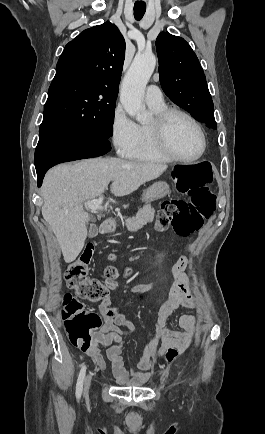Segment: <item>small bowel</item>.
I'll list each match as a JSON object with an SVG mask.
<instances>
[{
	"instance_id": "1",
	"label": "small bowel",
	"mask_w": 265,
	"mask_h": 434,
	"mask_svg": "<svg viewBox=\"0 0 265 434\" xmlns=\"http://www.w3.org/2000/svg\"><path fill=\"white\" fill-rule=\"evenodd\" d=\"M189 265L187 254H181L171 268L173 282L166 288L164 300L154 317L155 332L151 339L145 341L142 355L135 366L126 369L122 357L124 337L135 331L134 323L126 314L116 308H111V298L104 300L98 314L104 320L102 327L92 336L91 346L86 352L94 359L95 364L103 362L100 351L106 348V356L111 363L112 373L119 387H138L142 378L149 377V371L155 362L167 349L169 340H176L178 351H186L194 342L198 318L191 314H183L178 318L182 331L167 328L166 323L171 314L179 309H192L195 307V296L191 289V281L186 274ZM155 284H137L130 286L128 291L133 293H146L153 289ZM146 371V372H145Z\"/></svg>"
}]
</instances>
